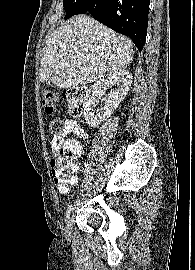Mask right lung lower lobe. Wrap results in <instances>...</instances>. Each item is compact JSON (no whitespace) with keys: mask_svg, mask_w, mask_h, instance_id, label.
Returning a JSON list of instances; mask_svg holds the SVG:
<instances>
[{"mask_svg":"<svg viewBox=\"0 0 195 270\" xmlns=\"http://www.w3.org/2000/svg\"><path fill=\"white\" fill-rule=\"evenodd\" d=\"M149 3L150 0H83L80 6L85 8L84 13L130 37L141 51L147 34Z\"/></svg>","mask_w":195,"mask_h":270,"instance_id":"1","label":"right lung lower lobe"}]
</instances>
